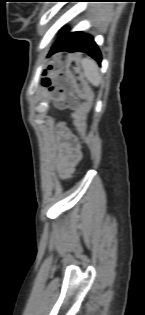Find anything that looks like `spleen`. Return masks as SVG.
Segmentation results:
<instances>
[{
	"instance_id": "obj_1",
	"label": "spleen",
	"mask_w": 145,
	"mask_h": 315,
	"mask_svg": "<svg viewBox=\"0 0 145 315\" xmlns=\"http://www.w3.org/2000/svg\"><path fill=\"white\" fill-rule=\"evenodd\" d=\"M80 62L86 79L93 86H99L101 82V75L99 73V68L96 62L91 58H83Z\"/></svg>"
}]
</instances>
